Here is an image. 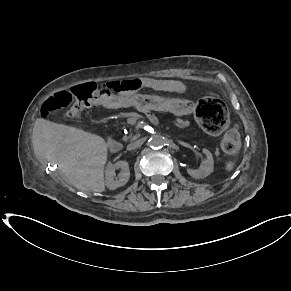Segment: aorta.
Instances as JSON below:
<instances>
[{
  "mask_svg": "<svg viewBox=\"0 0 291 291\" xmlns=\"http://www.w3.org/2000/svg\"><path fill=\"white\" fill-rule=\"evenodd\" d=\"M165 143V138L159 134L153 135L150 139H149V145L152 148H161L163 147Z\"/></svg>",
  "mask_w": 291,
  "mask_h": 291,
  "instance_id": "762f6f07",
  "label": "aorta"
}]
</instances>
